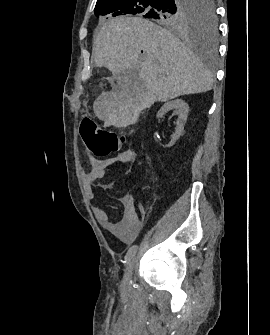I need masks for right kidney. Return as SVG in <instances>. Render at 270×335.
Listing matches in <instances>:
<instances>
[{
  "label": "right kidney",
  "instance_id": "1",
  "mask_svg": "<svg viewBox=\"0 0 270 335\" xmlns=\"http://www.w3.org/2000/svg\"><path fill=\"white\" fill-rule=\"evenodd\" d=\"M170 110H174L175 114H178V120L176 122L175 132L171 138V142L167 144V148H169V146H173L176 140H178V138L182 136L189 108L188 104H186V102H183V100H172V102H166V104L162 106L161 110L157 112V118H162V116H164L166 112H170Z\"/></svg>",
  "mask_w": 270,
  "mask_h": 335
}]
</instances>
